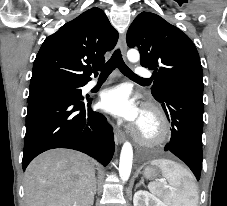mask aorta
Instances as JSON below:
<instances>
[{
	"label": "aorta",
	"mask_w": 227,
	"mask_h": 206,
	"mask_svg": "<svg viewBox=\"0 0 227 206\" xmlns=\"http://www.w3.org/2000/svg\"><path fill=\"white\" fill-rule=\"evenodd\" d=\"M127 58L130 62L135 63L140 59L139 52L135 49H130L127 52ZM133 162V149L129 142H125L121 154L119 163V176L122 181H127L131 174Z\"/></svg>",
	"instance_id": "aorta-1"
}]
</instances>
